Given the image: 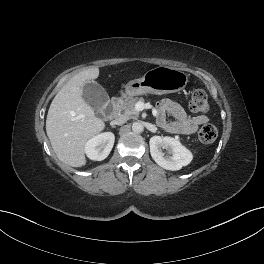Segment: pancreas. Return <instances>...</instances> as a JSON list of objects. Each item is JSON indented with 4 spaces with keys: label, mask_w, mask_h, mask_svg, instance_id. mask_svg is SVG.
<instances>
[{
    "label": "pancreas",
    "mask_w": 264,
    "mask_h": 264,
    "mask_svg": "<svg viewBox=\"0 0 264 264\" xmlns=\"http://www.w3.org/2000/svg\"><path fill=\"white\" fill-rule=\"evenodd\" d=\"M138 102L144 103L143 98H131L127 97L125 100L119 102L118 108L123 113V116L130 118L132 116H138L139 112L136 110L135 105Z\"/></svg>",
    "instance_id": "obj_1"
}]
</instances>
